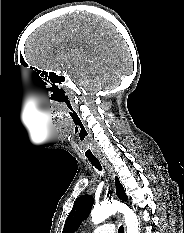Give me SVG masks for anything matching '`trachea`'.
Segmentation results:
<instances>
[{"label": "trachea", "instance_id": "obj_1", "mask_svg": "<svg viewBox=\"0 0 184 233\" xmlns=\"http://www.w3.org/2000/svg\"><path fill=\"white\" fill-rule=\"evenodd\" d=\"M78 135H79L78 137H79L80 143L83 147V153H84L85 157L90 161V163L95 168H97L99 171H101L102 170L101 164H100L99 160L97 159V157L95 156L93 149L91 148V146L87 142V140H88L87 129L84 126H80ZM118 233H124L123 226L119 227Z\"/></svg>", "mask_w": 184, "mask_h": 233}]
</instances>
